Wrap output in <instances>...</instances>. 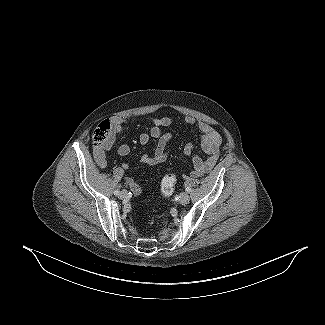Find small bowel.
Masks as SVG:
<instances>
[{
    "instance_id": "c3829d8e",
    "label": "small bowel",
    "mask_w": 325,
    "mask_h": 325,
    "mask_svg": "<svg viewBox=\"0 0 325 325\" xmlns=\"http://www.w3.org/2000/svg\"><path fill=\"white\" fill-rule=\"evenodd\" d=\"M130 117H114L110 121L111 131L107 140L100 146L94 149V158L101 168L107 167V152L114 147L116 137L122 132L124 124L129 121ZM149 121L153 124L150 132L141 133L139 141L141 144H147L151 138L157 140L155 151L152 155H143L141 161L148 165H157L166 160L170 152V141L172 135L164 133L163 129L171 125V119L168 117H149ZM185 121L190 126L196 125L195 118L188 116ZM200 131V146L208 155L206 159L199 157L192 144H187L183 149V154L186 157H191L193 161V170L185 174V178L201 176L209 173L218 161L221 145L220 135L209 125L198 124ZM117 152L120 156H126L130 153V147L127 144H121ZM124 169L128 168V164L122 165ZM126 184L133 192L138 195L141 192L140 186L130 177L125 179Z\"/></svg>"
}]
</instances>
